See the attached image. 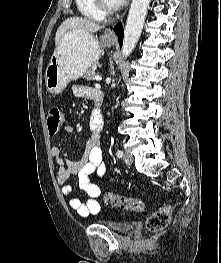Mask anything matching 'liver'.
I'll return each mask as SVG.
<instances>
[{
	"label": "liver",
	"mask_w": 221,
	"mask_h": 263,
	"mask_svg": "<svg viewBox=\"0 0 221 263\" xmlns=\"http://www.w3.org/2000/svg\"><path fill=\"white\" fill-rule=\"evenodd\" d=\"M101 28L102 27L99 24L93 21H89L80 17H70L66 19L58 28L55 36V44L57 46L60 42L61 37L68 31L81 30L89 33H94L99 31Z\"/></svg>",
	"instance_id": "obj_1"
}]
</instances>
